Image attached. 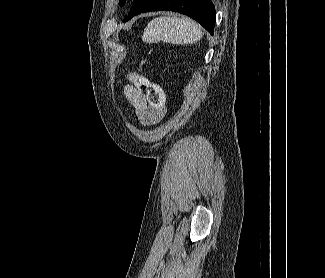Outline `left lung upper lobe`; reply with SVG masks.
<instances>
[{"instance_id":"5c2ea615","label":"left lung upper lobe","mask_w":325,"mask_h":278,"mask_svg":"<svg viewBox=\"0 0 325 278\" xmlns=\"http://www.w3.org/2000/svg\"><path fill=\"white\" fill-rule=\"evenodd\" d=\"M125 2H126V0H120V1H119V4H120V5H124Z\"/></svg>"}]
</instances>
